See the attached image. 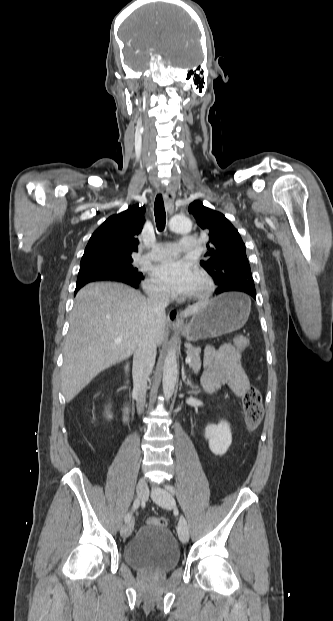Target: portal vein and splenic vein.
<instances>
[{
    "label": "portal vein and splenic vein",
    "instance_id": "18ae733b",
    "mask_svg": "<svg viewBox=\"0 0 333 621\" xmlns=\"http://www.w3.org/2000/svg\"><path fill=\"white\" fill-rule=\"evenodd\" d=\"M121 339H122V337H119L116 341H120ZM185 362H186L187 364H189V363L191 362V357H190V356H187V357H186V359H185Z\"/></svg>",
    "mask_w": 333,
    "mask_h": 621
}]
</instances>
